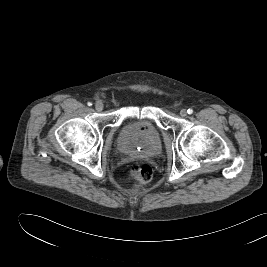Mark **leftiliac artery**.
Returning <instances> with one entry per match:
<instances>
[{"instance_id": "44dca946", "label": "left iliac artery", "mask_w": 267, "mask_h": 267, "mask_svg": "<svg viewBox=\"0 0 267 267\" xmlns=\"http://www.w3.org/2000/svg\"><path fill=\"white\" fill-rule=\"evenodd\" d=\"M187 112H188V114H192L193 113V109L190 108V109L187 110Z\"/></svg>"}]
</instances>
